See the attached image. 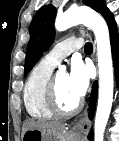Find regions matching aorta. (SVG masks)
Returning <instances> with one entry per match:
<instances>
[{"instance_id":"aorta-1","label":"aorta","mask_w":119,"mask_h":141,"mask_svg":"<svg viewBox=\"0 0 119 141\" xmlns=\"http://www.w3.org/2000/svg\"><path fill=\"white\" fill-rule=\"evenodd\" d=\"M78 24H84L92 29L97 43L99 98L95 116L94 140L103 141L113 102L114 85L109 30L103 17L86 7L71 8L58 15L55 20L57 31H65ZM60 69L63 70V67Z\"/></svg>"}]
</instances>
